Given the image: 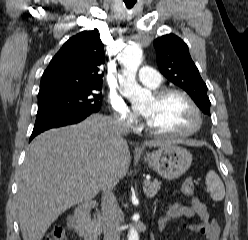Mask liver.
<instances>
[{"label": "liver", "mask_w": 248, "mask_h": 240, "mask_svg": "<svg viewBox=\"0 0 248 240\" xmlns=\"http://www.w3.org/2000/svg\"><path fill=\"white\" fill-rule=\"evenodd\" d=\"M168 144L144 143L149 147ZM130 162L127 141L107 116L95 114L38 135L19 173L17 211L23 239L42 240L64 211L92 200L107 180L117 184Z\"/></svg>", "instance_id": "obj_1"}]
</instances>
